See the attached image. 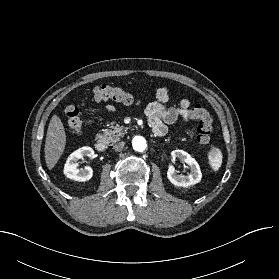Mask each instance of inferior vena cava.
Instances as JSON below:
<instances>
[{"mask_svg": "<svg viewBox=\"0 0 279 279\" xmlns=\"http://www.w3.org/2000/svg\"><path fill=\"white\" fill-rule=\"evenodd\" d=\"M124 145H125V143L122 141V142H118L117 144H115L114 146H113V149L115 150V151H122L123 150V148H124Z\"/></svg>", "mask_w": 279, "mask_h": 279, "instance_id": "1", "label": "inferior vena cava"}]
</instances>
